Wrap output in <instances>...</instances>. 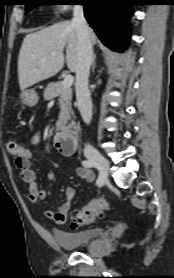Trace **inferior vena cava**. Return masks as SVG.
<instances>
[{
  "label": "inferior vena cava",
  "instance_id": "inferior-vena-cava-1",
  "mask_svg": "<svg viewBox=\"0 0 174 278\" xmlns=\"http://www.w3.org/2000/svg\"><path fill=\"white\" fill-rule=\"evenodd\" d=\"M72 24L76 27L78 37V63L75 83L77 106L83 121L89 124L92 120V102L88 89V78L93 61V50L82 5L74 6ZM84 151L94 152L95 149L88 144Z\"/></svg>",
  "mask_w": 174,
  "mask_h": 278
}]
</instances>
